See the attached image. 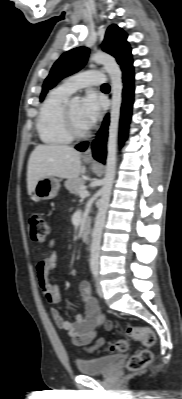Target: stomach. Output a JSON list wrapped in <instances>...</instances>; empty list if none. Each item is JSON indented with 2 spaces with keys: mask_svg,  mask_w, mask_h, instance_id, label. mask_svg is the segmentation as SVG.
Returning a JSON list of instances; mask_svg holds the SVG:
<instances>
[{
  "mask_svg": "<svg viewBox=\"0 0 182 399\" xmlns=\"http://www.w3.org/2000/svg\"><path fill=\"white\" fill-rule=\"evenodd\" d=\"M60 181L52 176L40 179L33 190V196L39 200H48L57 196Z\"/></svg>",
  "mask_w": 182,
  "mask_h": 399,
  "instance_id": "1",
  "label": "stomach"
}]
</instances>
